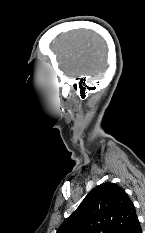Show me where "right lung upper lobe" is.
Listing matches in <instances>:
<instances>
[{"label": "right lung upper lobe", "mask_w": 145, "mask_h": 233, "mask_svg": "<svg viewBox=\"0 0 145 233\" xmlns=\"http://www.w3.org/2000/svg\"><path fill=\"white\" fill-rule=\"evenodd\" d=\"M136 219L135 207L127 193L106 182L86 195L57 233H127Z\"/></svg>", "instance_id": "obj_1"}]
</instances>
